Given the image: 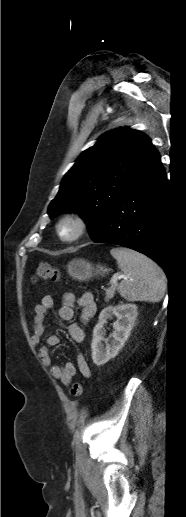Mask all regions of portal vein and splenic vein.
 Segmentation results:
<instances>
[{
  "mask_svg": "<svg viewBox=\"0 0 186 517\" xmlns=\"http://www.w3.org/2000/svg\"><path fill=\"white\" fill-rule=\"evenodd\" d=\"M121 279H126V276L123 275V274L113 275V277L111 278V285H112V287L117 285L118 280H121Z\"/></svg>",
  "mask_w": 186,
  "mask_h": 517,
  "instance_id": "18ae733b",
  "label": "portal vein and splenic vein"
}]
</instances>
